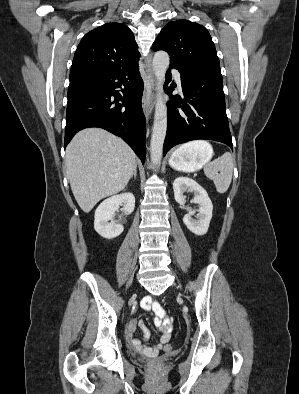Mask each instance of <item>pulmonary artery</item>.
Instances as JSON below:
<instances>
[{
    "label": "pulmonary artery",
    "mask_w": 299,
    "mask_h": 394,
    "mask_svg": "<svg viewBox=\"0 0 299 394\" xmlns=\"http://www.w3.org/2000/svg\"><path fill=\"white\" fill-rule=\"evenodd\" d=\"M172 74L174 75L176 82L179 86H181V75L178 71L172 70Z\"/></svg>",
    "instance_id": "obj_1"
}]
</instances>
